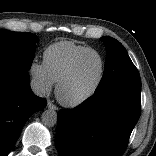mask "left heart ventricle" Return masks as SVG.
I'll return each mask as SVG.
<instances>
[{"label": "left heart ventricle", "mask_w": 156, "mask_h": 156, "mask_svg": "<svg viewBox=\"0 0 156 156\" xmlns=\"http://www.w3.org/2000/svg\"><path fill=\"white\" fill-rule=\"evenodd\" d=\"M101 71L96 54L85 56L78 64L72 78L61 89V96L68 101L86 94L97 82Z\"/></svg>", "instance_id": "1"}]
</instances>
